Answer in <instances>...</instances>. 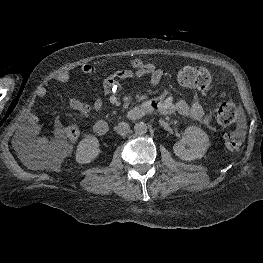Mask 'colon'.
Returning <instances> with one entry per match:
<instances>
[{
	"mask_svg": "<svg viewBox=\"0 0 263 263\" xmlns=\"http://www.w3.org/2000/svg\"><path fill=\"white\" fill-rule=\"evenodd\" d=\"M178 82L188 88L207 92L211 86L212 78L209 71L203 67L185 66L178 72ZM217 122L222 126L232 124L237 117V108L231 102L217 104L214 109ZM67 139L75 143L79 139L80 132L77 126L69 125L64 130ZM224 143L228 150L238 151L243 144V135L239 131H231L224 135ZM49 157L53 163L60 161L61 155L57 150H51Z\"/></svg>",
	"mask_w": 263,
	"mask_h": 263,
	"instance_id": "1",
	"label": "colon"
}]
</instances>
